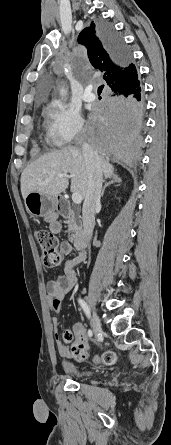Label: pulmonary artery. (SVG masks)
Listing matches in <instances>:
<instances>
[{
    "label": "pulmonary artery",
    "mask_w": 171,
    "mask_h": 445,
    "mask_svg": "<svg viewBox=\"0 0 171 445\" xmlns=\"http://www.w3.org/2000/svg\"><path fill=\"white\" fill-rule=\"evenodd\" d=\"M82 98L85 102H92L95 99V95L91 92V89L88 88Z\"/></svg>",
    "instance_id": "e3ab8cb5"
}]
</instances>
